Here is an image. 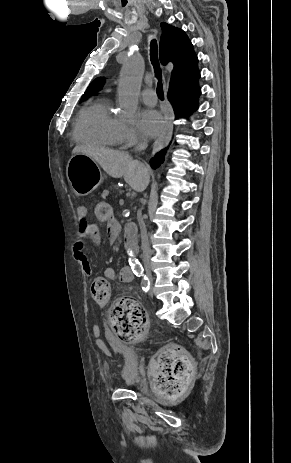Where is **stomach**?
<instances>
[{
	"label": "stomach",
	"mask_w": 291,
	"mask_h": 463,
	"mask_svg": "<svg viewBox=\"0 0 291 463\" xmlns=\"http://www.w3.org/2000/svg\"><path fill=\"white\" fill-rule=\"evenodd\" d=\"M66 174L73 191L79 196L91 193L98 185L100 177L97 163L82 153L74 154L70 158Z\"/></svg>",
	"instance_id": "1"
}]
</instances>
